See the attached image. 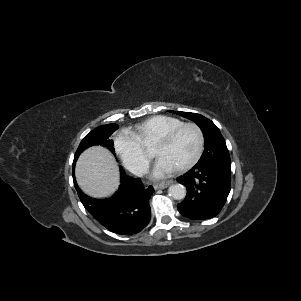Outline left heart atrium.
I'll return each mask as SVG.
<instances>
[{
  "mask_svg": "<svg viewBox=\"0 0 301 301\" xmlns=\"http://www.w3.org/2000/svg\"><path fill=\"white\" fill-rule=\"evenodd\" d=\"M177 167L168 161L165 158L159 157L154 169H153V176L156 178L164 177L173 171H175Z\"/></svg>",
  "mask_w": 301,
  "mask_h": 301,
  "instance_id": "obj_1",
  "label": "left heart atrium"
}]
</instances>
